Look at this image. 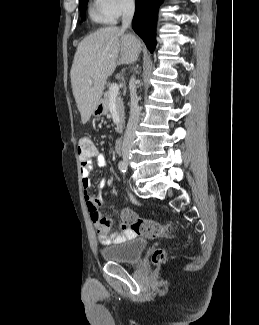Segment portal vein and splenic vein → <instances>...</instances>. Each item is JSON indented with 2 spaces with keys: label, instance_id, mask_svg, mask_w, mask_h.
I'll return each mask as SVG.
<instances>
[{
  "label": "portal vein and splenic vein",
  "instance_id": "18ae733b",
  "mask_svg": "<svg viewBox=\"0 0 259 325\" xmlns=\"http://www.w3.org/2000/svg\"><path fill=\"white\" fill-rule=\"evenodd\" d=\"M118 91H119L118 84L117 83L111 84V86L109 87L111 99L116 98V96L118 95Z\"/></svg>",
  "mask_w": 259,
  "mask_h": 325
}]
</instances>
